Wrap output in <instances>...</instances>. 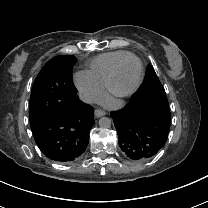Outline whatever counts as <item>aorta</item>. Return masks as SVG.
I'll return each instance as SVG.
<instances>
[{
    "label": "aorta",
    "instance_id": "1",
    "mask_svg": "<svg viewBox=\"0 0 208 208\" xmlns=\"http://www.w3.org/2000/svg\"><path fill=\"white\" fill-rule=\"evenodd\" d=\"M99 126L101 128H109L111 126V120L107 117H102L99 119Z\"/></svg>",
    "mask_w": 208,
    "mask_h": 208
}]
</instances>
